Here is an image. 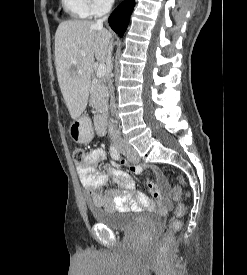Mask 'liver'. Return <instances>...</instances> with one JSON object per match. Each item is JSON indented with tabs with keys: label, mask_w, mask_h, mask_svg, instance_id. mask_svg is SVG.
<instances>
[{
	"label": "liver",
	"mask_w": 247,
	"mask_h": 275,
	"mask_svg": "<svg viewBox=\"0 0 247 275\" xmlns=\"http://www.w3.org/2000/svg\"><path fill=\"white\" fill-rule=\"evenodd\" d=\"M111 38L110 31L92 21H63L56 30L57 78L70 116L74 120L81 116L87 106L95 58L100 64L106 63Z\"/></svg>",
	"instance_id": "liver-1"
}]
</instances>
